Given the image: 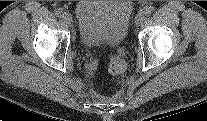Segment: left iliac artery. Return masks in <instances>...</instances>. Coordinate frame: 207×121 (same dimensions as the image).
Segmentation results:
<instances>
[{
    "mask_svg": "<svg viewBox=\"0 0 207 121\" xmlns=\"http://www.w3.org/2000/svg\"><path fill=\"white\" fill-rule=\"evenodd\" d=\"M154 11V7L153 6H146L143 8L142 12L148 16L150 15L152 12Z\"/></svg>",
    "mask_w": 207,
    "mask_h": 121,
    "instance_id": "1",
    "label": "left iliac artery"
}]
</instances>
